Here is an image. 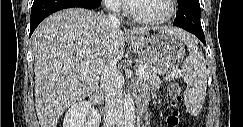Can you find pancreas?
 Returning <instances> with one entry per match:
<instances>
[{"label":"pancreas","mask_w":243,"mask_h":127,"mask_svg":"<svg viewBox=\"0 0 243 127\" xmlns=\"http://www.w3.org/2000/svg\"><path fill=\"white\" fill-rule=\"evenodd\" d=\"M138 68H142L144 70V73L142 75V78L153 86V88L158 89L159 85L161 84V81L159 77L157 76L156 72L152 69V67L146 63L143 60L139 61Z\"/></svg>","instance_id":"obj_1"}]
</instances>
